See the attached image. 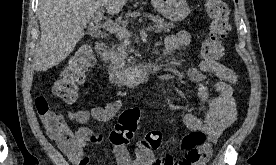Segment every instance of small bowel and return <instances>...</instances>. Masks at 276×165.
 Segmentation results:
<instances>
[{
    "label": "small bowel",
    "instance_id": "1",
    "mask_svg": "<svg viewBox=\"0 0 276 165\" xmlns=\"http://www.w3.org/2000/svg\"><path fill=\"white\" fill-rule=\"evenodd\" d=\"M190 43V34L187 31H178L165 38V53H176ZM207 75H214L218 79L214 84L215 97L210 96V91L204 84ZM187 76L190 81L198 84L199 110L204 113V116L200 118L193 113L182 112L181 121L189 131L205 133L208 138L207 143L194 156L185 155L180 160H174L171 156L157 157L153 152L139 151H137L136 158H131L125 145H114L113 151L117 165H205L211 155V145L237 120L233 91L238 82V76L225 65L207 60H203L198 68H189ZM119 108L120 101L114 100L106 106H96L90 110L76 109L69 112L70 120L80 125L73 133L76 138V147L67 149L60 142L59 146L74 165H89L95 154L86 155L84 148L103 141V130H94L90 124L92 122L102 125L108 123L116 116ZM41 119L48 132L47 121L44 118ZM64 126L66 127L65 123Z\"/></svg>",
    "mask_w": 276,
    "mask_h": 165
}]
</instances>
